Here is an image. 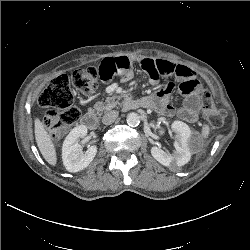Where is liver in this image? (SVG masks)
<instances>
[{"label":"liver","instance_id":"liver-1","mask_svg":"<svg viewBox=\"0 0 250 250\" xmlns=\"http://www.w3.org/2000/svg\"><path fill=\"white\" fill-rule=\"evenodd\" d=\"M35 139L37 146L44 159L52 166L57 163L56 149L51 136L46 131L39 118L35 119Z\"/></svg>","mask_w":250,"mask_h":250}]
</instances>
